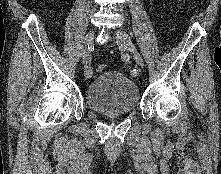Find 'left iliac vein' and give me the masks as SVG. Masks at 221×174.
<instances>
[{
    "instance_id": "1",
    "label": "left iliac vein",
    "mask_w": 221,
    "mask_h": 174,
    "mask_svg": "<svg viewBox=\"0 0 221 174\" xmlns=\"http://www.w3.org/2000/svg\"><path fill=\"white\" fill-rule=\"evenodd\" d=\"M116 36L118 37L119 41L129 50V52L132 54L134 60L136 63L140 66H144L143 59L138 52L137 48L135 47L134 43L132 42L130 36L122 31V30H116L115 31Z\"/></svg>"
}]
</instances>
